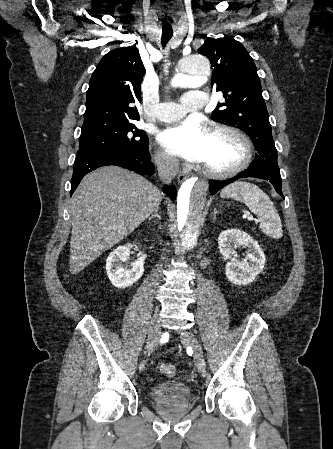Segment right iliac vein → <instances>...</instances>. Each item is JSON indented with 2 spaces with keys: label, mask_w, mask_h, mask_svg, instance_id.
Returning <instances> with one entry per match:
<instances>
[{
  "label": "right iliac vein",
  "mask_w": 333,
  "mask_h": 449,
  "mask_svg": "<svg viewBox=\"0 0 333 449\" xmlns=\"http://www.w3.org/2000/svg\"><path fill=\"white\" fill-rule=\"evenodd\" d=\"M160 337H161L160 328L156 323H153L150 327L147 343L145 346L144 354L146 356L151 354V352L153 351V348L159 342Z\"/></svg>",
  "instance_id": "obj_1"
}]
</instances>
